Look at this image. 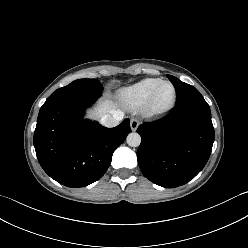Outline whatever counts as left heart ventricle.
<instances>
[{
    "instance_id": "b2bd125f",
    "label": "left heart ventricle",
    "mask_w": 248,
    "mask_h": 248,
    "mask_svg": "<svg viewBox=\"0 0 248 248\" xmlns=\"http://www.w3.org/2000/svg\"><path fill=\"white\" fill-rule=\"evenodd\" d=\"M173 97V89L170 85H164L158 92L155 100L157 107H164L168 105Z\"/></svg>"
}]
</instances>
